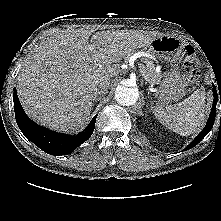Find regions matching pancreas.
<instances>
[{"mask_svg":"<svg viewBox=\"0 0 221 221\" xmlns=\"http://www.w3.org/2000/svg\"><path fill=\"white\" fill-rule=\"evenodd\" d=\"M141 61L144 63L139 64V70L142 76L149 84H158L161 79V73L155 71L153 62L147 58H143Z\"/></svg>","mask_w":221,"mask_h":221,"instance_id":"cf45deb5","label":"pancreas"}]
</instances>
